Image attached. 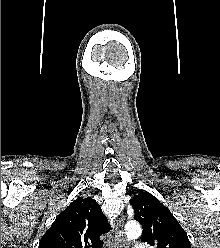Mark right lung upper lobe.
<instances>
[{
	"label": "right lung upper lobe",
	"instance_id": "right-lung-upper-lobe-1",
	"mask_svg": "<svg viewBox=\"0 0 220 248\" xmlns=\"http://www.w3.org/2000/svg\"><path fill=\"white\" fill-rule=\"evenodd\" d=\"M107 217L91 197L74 200L43 235L38 248H103Z\"/></svg>",
	"mask_w": 220,
	"mask_h": 248
}]
</instances>
